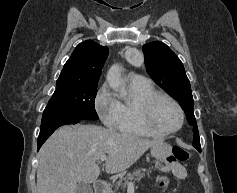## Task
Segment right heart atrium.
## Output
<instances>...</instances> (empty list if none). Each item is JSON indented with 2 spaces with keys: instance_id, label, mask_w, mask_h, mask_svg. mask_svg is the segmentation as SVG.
Segmentation results:
<instances>
[{
  "instance_id": "right-heart-atrium-1",
  "label": "right heart atrium",
  "mask_w": 237,
  "mask_h": 193,
  "mask_svg": "<svg viewBox=\"0 0 237 193\" xmlns=\"http://www.w3.org/2000/svg\"><path fill=\"white\" fill-rule=\"evenodd\" d=\"M94 107L99 118L106 126L117 129L120 115V102L111 92L108 84H103L96 93Z\"/></svg>"
}]
</instances>
